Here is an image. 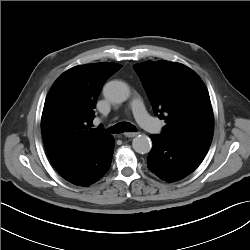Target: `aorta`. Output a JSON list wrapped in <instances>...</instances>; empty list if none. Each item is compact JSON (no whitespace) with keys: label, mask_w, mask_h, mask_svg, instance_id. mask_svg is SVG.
Returning <instances> with one entry per match:
<instances>
[{"label":"aorta","mask_w":250,"mask_h":250,"mask_svg":"<svg viewBox=\"0 0 250 250\" xmlns=\"http://www.w3.org/2000/svg\"><path fill=\"white\" fill-rule=\"evenodd\" d=\"M103 95L111 103L119 104L129 98L130 89L126 83L113 80L105 84ZM132 147L139 154L149 153L152 147L151 140L146 135H138L133 139Z\"/></svg>","instance_id":"obj_1"}]
</instances>
